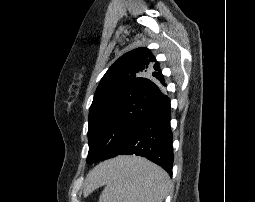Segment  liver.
Listing matches in <instances>:
<instances>
[{
    "label": "liver",
    "instance_id": "obj_1",
    "mask_svg": "<svg viewBox=\"0 0 255 202\" xmlns=\"http://www.w3.org/2000/svg\"><path fill=\"white\" fill-rule=\"evenodd\" d=\"M119 158H116V159H113V160H110V161H107V162H104L102 164H100L99 166H97L87 177V180H86V186H87V189H92L94 187H97V182H98V173L101 169V167L109 164V163H114L118 160Z\"/></svg>",
    "mask_w": 255,
    "mask_h": 202
}]
</instances>
